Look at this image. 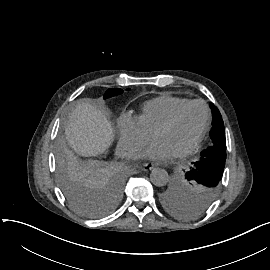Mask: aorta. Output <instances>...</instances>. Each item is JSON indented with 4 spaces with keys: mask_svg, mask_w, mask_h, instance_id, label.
I'll return each instance as SVG.
<instances>
[{
    "mask_svg": "<svg viewBox=\"0 0 270 270\" xmlns=\"http://www.w3.org/2000/svg\"><path fill=\"white\" fill-rule=\"evenodd\" d=\"M150 180L155 186H164L168 182V173L165 169L155 168L151 171Z\"/></svg>",
    "mask_w": 270,
    "mask_h": 270,
    "instance_id": "aorta-1",
    "label": "aorta"
}]
</instances>
